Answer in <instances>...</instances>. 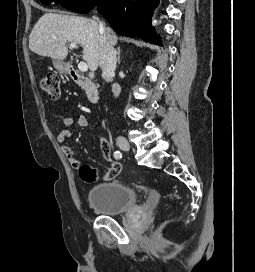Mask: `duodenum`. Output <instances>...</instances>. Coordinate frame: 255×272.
Wrapping results in <instances>:
<instances>
[{"mask_svg": "<svg viewBox=\"0 0 255 272\" xmlns=\"http://www.w3.org/2000/svg\"><path fill=\"white\" fill-rule=\"evenodd\" d=\"M64 69H67L68 74L70 75L72 80L84 90L87 99L92 104L99 103L101 98L100 93L91 79L80 74L76 69L71 66H64Z\"/></svg>", "mask_w": 255, "mask_h": 272, "instance_id": "410a0bca", "label": "duodenum"}]
</instances>
